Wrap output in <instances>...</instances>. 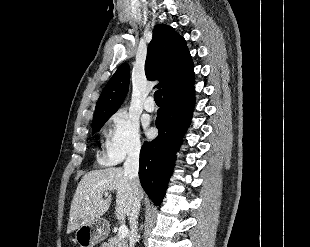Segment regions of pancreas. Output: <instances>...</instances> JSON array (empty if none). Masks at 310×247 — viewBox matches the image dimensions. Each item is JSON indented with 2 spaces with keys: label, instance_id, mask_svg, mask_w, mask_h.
<instances>
[{
  "label": "pancreas",
  "instance_id": "cf45deb5",
  "mask_svg": "<svg viewBox=\"0 0 310 247\" xmlns=\"http://www.w3.org/2000/svg\"><path fill=\"white\" fill-rule=\"evenodd\" d=\"M102 247H128V242L125 238L120 239L118 236H114L108 239V242L103 243Z\"/></svg>",
  "mask_w": 310,
  "mask_h": 247
}]
</instances>
